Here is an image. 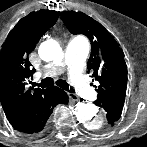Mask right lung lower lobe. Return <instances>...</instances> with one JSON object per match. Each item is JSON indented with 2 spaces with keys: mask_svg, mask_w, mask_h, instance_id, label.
<instances>
[{
  "mask_svg": "<svg viewBox=\"0 0 147 147\" xmlns=\"http://www.w3.org/2000/svg\"><path fill=\"white\" fill-rule=\"evenodd\" d=\"M67 94L53 86L46 89L27 109L19 115L8 119L19 132L37 135L44 130L45 124L57 104H66Z\"/></svg>",
  "mask_w": 147,
  "mask_h": 147,
  "instance_id": "98d812e1",
  "label": "right lung lower lobe"
}]
</instances>
